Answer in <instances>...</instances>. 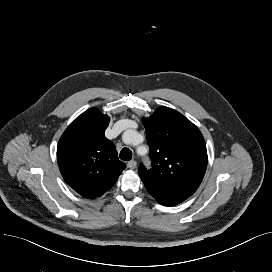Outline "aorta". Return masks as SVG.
I'll return each instance as SVG.
<instances>
[{"label": "aorta", "instance_id": "762f6f07", "mask_svg": "<svg viewBox=\"0 0 272 272\" xmlns=\"http://www.w3.org/2000/svg\"><path fill=\"white\" fill-rule=\"evenodd\" d=\"M138 136V133L134 130H128L123 134V140L126 143H130Z\"/></svg>", "mask_w": 272, "mask_h": 272}]
</instances>
